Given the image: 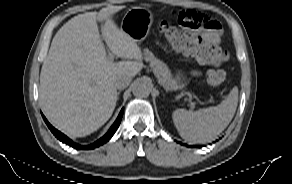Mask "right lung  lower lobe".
<instances>
[{"label": "right lung lower lobe", "instance_id": "1", "mask_svg": "<svg viewBox=\"0 0 292 184\" xmlns=\"http://www.w3.org/2000/svg\"><path fill=\"white\" fill-rule=\"evenodd\" d=\"M122 116H123V109L120 111L116 121L111 126L109 131L102 138H100L99 140H97L96 142H94L90 145H79L77 143H74L71 139H69L63 133H61L60 131H58L54 127H52V125H50V123L47 121V119L42 114V117H43L45 123L47 124V126L49 127L51 132L55 135V137H57L60 141H62L63 143H65V144H67L75 149H82V150L94 149V148H97L100 145L106 143L107 141H109V139L113 136V134L116 132L117 128L119 127Z\"/></svg>", "mask_w": 292, "mask_h": 184}]
</instances>
